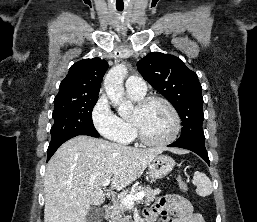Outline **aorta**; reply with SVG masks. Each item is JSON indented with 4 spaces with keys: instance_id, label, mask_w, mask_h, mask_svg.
<instances>
[{
    "instance_id": "762f6f07",
    "label": "aorta",
    "mask_w": 257,
    "mask_h": 222,
    "mask_svg": "<svg viewBox=\"0 0 257 222\" xmlns=\"http://www.w3.org/2000/svg\"><path fill=\"white\" fill-rule=\"evenodd\" d=\"M127 74L125 64H119L106 74L104 79V88L112 104L118 108L119 114H126L132 111L133 105L124 97L125 90L123 86L124 78Z\"/></svg>"
}]
</instances>
